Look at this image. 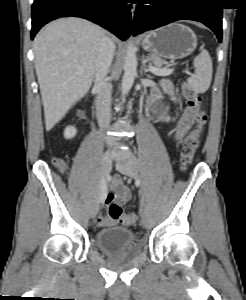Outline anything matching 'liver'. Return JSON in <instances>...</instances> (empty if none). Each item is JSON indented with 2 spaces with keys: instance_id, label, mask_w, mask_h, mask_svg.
<instances>
[{
  "instance_id": "1",
  "label": "liver",
  "mask_w": 246,
  "mask_h": 300,
  "mask_svg": "<svg viewBox=\"0 0 246 300\" xmlns=\"http://www.w3.org/2000/svg\"><path fill=\"white\" fill-rule=\"evenodd\" d=\"M103 36L101 27L76 17L55 20L36 35L35 69L47 131L90 89Z\"/></svg>"
}]
</instances>
